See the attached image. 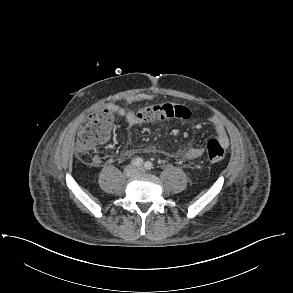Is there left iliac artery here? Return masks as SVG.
<instances>
[{
  "instance_id": "left-iliac-artery-1",
  "label": "left iliac artery",
  "mask_w": 293,
  "mask_h": 293,
  "mask_svg": "<svg viewBox=\"0 0 293 293\" xmlns=\"http://www.w3.org/2000/svg\"><path fill=\"white\" fill-rule=\"evenodd\" d=\"M144 167L146 170H150L153 168V164L150 161L145 162Z\"/></svg>"
}]
</instances>
